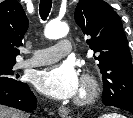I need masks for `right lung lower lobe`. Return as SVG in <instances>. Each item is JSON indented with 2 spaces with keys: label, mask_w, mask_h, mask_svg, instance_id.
<instances>
[{
  "label": "right lung lower lobe",
  "mask_w": 133,
  "mask_h": 118,
  "mask_svg": "<svg viewBox=\"0 0 133 118\" xmlns=\"http://www.w3.org/2000/svg\"><path fill=\"white\" fill-rule=\"evenodd\" d=\"M0 104L30 112L35 108L36 97L22 82L17 86L0 88Z\"/></svg>",
  "instance_id": "98d812e1"
}]
</instances>
